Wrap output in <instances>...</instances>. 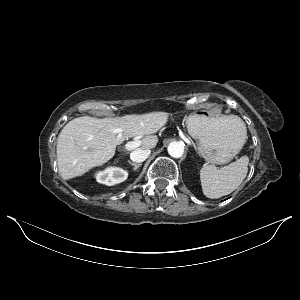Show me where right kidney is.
<instances>
[{
    "label": "right kidney",
    "instance_id": "ca27d5eb",
    "mask_svg": "<svg viewBox=\"0 0 300 300\" xmlns=\"http://www.w3.org/2000/svg\"><path fill=\"white\" fill-rule=\"evenodd\" d=\"M96 180L101 184L112 186L125 181L128 172L119 167H108L103 171L96 173Z\"/></svg>",
    "mask_w": 300,
    "mask_h": 300
}]
</instances>
